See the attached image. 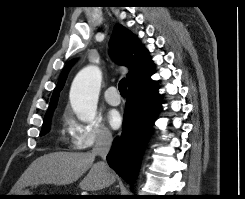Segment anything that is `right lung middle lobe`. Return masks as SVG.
Masks as SVG:
<instances>
[{
  "mask_svg": "<svg viewBox=\"0 0 245 199\" xmlns=\"http://www.w3.org/2000/svg\"><path fill=\"white\" fill-rule=\"evenodd\" d=\"M52 114L53 113L44 117V122L42 125V130L40 132V135H44L45 133H47L50 130V122H51Z\"/></svg>",
  "mask_w": 245,
  "mask_h": 199,
  "instance_id": "obj_1",
  "label": "right lung middle lobe"
}]
</instances>
